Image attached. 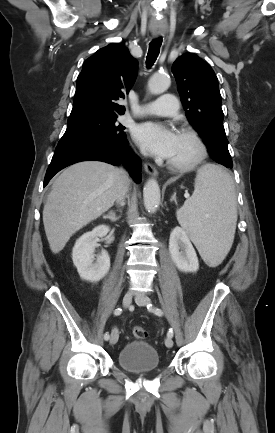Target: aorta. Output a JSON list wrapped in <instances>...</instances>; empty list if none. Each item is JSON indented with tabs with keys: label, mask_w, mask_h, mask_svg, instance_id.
Segmentation results:
<instances>
[{
	"label": "aorta",
	"mask_w": 275,
	"mask_h": 433,
	"mask_svg": "<svg viewBox=\"0 0 275 433\" xmlns=\"http://www.w3.org/2000/svg\"><path fill=\"white\" fill-rule=\"evenodd\" d=\"M170 86V79L165 74L153 75L149 82L148 88L153 94H161ZM160 188L155 179H149L143 188L144 206L148 212L154 213L160 205Z\"/></svg>",
	"instance_id": "aorta-1"
}]
</instances>
